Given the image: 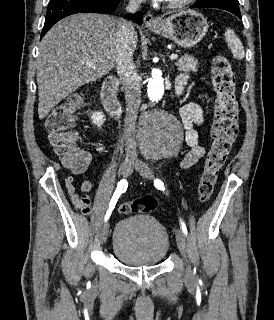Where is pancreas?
<instances>
[{
    "instance_id": "pancreas-1",
    "label": "pancreas",
    "mask_w": 274,
    "mask_h": 320,
    "mask_svg": "<svg viewBox=\"0 0 274 320\" xmlns=\"http://www.w3.org/2000/svg\"><path fill=\"white\" fill-rule=\"evenodd\" d=\"M179 52V50H177ZM175 66H177L180 72H196L198 70L199 62L192 58V56H181L179 60H177Z\"/></svg>"
}]
</instances>
